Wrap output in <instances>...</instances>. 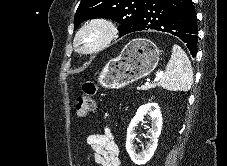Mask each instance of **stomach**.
<instances>
[{"label":"stomach","mask_w":227,"mask_h":166,"mask_svg":"<svg viewBox=\"0 0 227 166\" xmlns=\"http://www.w3.org/2000/svg\"><path fill=\"white\" fill-rule=\"evenodd\" d=\"M159 48L150 40L136 38L111 59L99 74V83L108 89H120L149 75L158 65Z\"/></svg>","instance_id":"0dacf381"}]
</instances>
